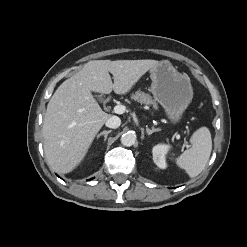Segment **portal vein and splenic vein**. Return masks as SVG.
Instances as JSON below:
<instances>
[{"label": "portal vein and splenic vein", "mask_w": 247, "mask_h": 247, "mask_svg": "<svg viewBox=\"0 0 247 247\" xmlns=\"http://www.w3.org/2000/svg\"><path fill=\"white\" fill-rule=\"evenodd\" d=\"M113 110L116 114H123L126 111V107L124 105H117ZM187 144L188 142H186V146H188Z\"/></svg>", "instance_id": "obj_1"}]
</instances>
